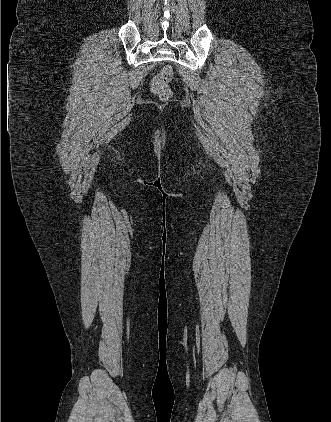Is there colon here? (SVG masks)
<instances>
[{"label": "colon", "instance_id": "1", "mask_svg": "<svg viewBox=\"0 0 331 422\" xmlns=\"http://www.w3.org/2000/svg\"><path fill=\"white\" fill-rule=\"evenodd\" d=\"M173 70L171 66L165 64L160 71L154 76L151 89L161 100H168L172 96L170 81L172 79Z\"/></svg>", "mask_w": 331, "mask_h": 422}]
</instances>
